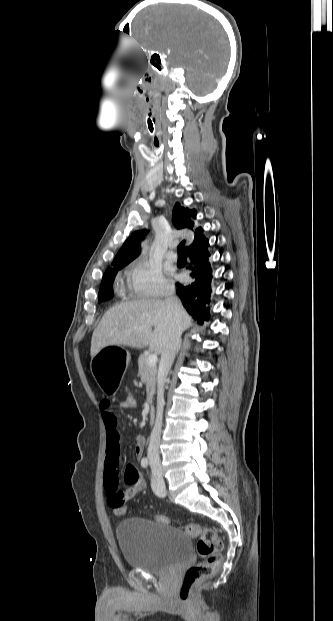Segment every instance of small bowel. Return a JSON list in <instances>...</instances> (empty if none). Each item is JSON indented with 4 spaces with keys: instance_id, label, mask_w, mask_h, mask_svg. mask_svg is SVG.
Returning <instances> with one entry per match:
<instances>
[{
    "instance_id": "1",
    "label": "small bowel",
    "mask_w": 333,
    "mask_h": 621,
    "mask_svg": "<svg viewBox=\"0 0 333 621\" xmlns=\"http://www.w3.org/2000/svg\"><path fill=\"white\" fill-rule=\"evenodd\" d=\"M99 408L107 433L106 461L104 484L107 491L108 505L114 509L117 505H124L143 490L145 480L139 470L133 464H128L124 470V481L128 487L125 490L119 488L120 484V449L122 437L118 429V419L108 399L100 402ZM145 447V438L137 436L135 438L134 454L140 460Z\"/></svg>"
}]
</instances>
